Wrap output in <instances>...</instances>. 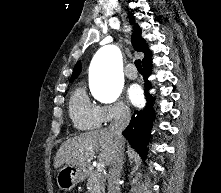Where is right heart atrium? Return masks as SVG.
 I'll list each match as a JSON object with an SVG mask.
<instances>
[{"instance_id":"obj_1","label":"right heart atrium","mask_w":221,"mask_h":193,"mask_svg":"<svg viewBox=\"0 0 221 193\" xmlns=\"http://www.w3.org/2000/svg\"><path fill=\"white\" fill-rule=\"evenodd\" d=\"M129 107L121 100L100 106L101 122L108 125L112 122L126 120L130 117Z\"/></svg>"}]
</instances>
